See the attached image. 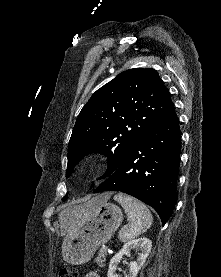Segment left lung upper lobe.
Listing matches in <instances>:
<instances>
[{"label":"left lung upper lobe","instance_id":"1","mask_svg":"<svg viewBox=\"0 0 221 277\" xmlns=\"http://www.w3.org/2000/svg\"><path fill=\"white\" fill-rule=\"evenodd\" d=\"M172 106L170 93L154 69L134 68L117 75L91 96L78 115L68 144L66 177L89 152L108 156V170L99 179L111 175Z\"/></svg>","mask_w":221,"mask_h":277}]
</instances>
